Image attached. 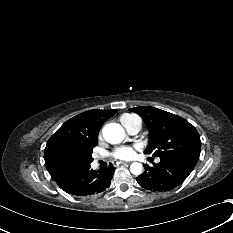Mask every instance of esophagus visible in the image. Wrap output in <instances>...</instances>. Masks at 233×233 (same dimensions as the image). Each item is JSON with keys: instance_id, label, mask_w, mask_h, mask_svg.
<instances>
[{"instance_id": "1", "label": "esophagus", "mask_w": 233, "mask_h": 233, "mask_svg": "<svg viewBox=\"0 0 233 233\" xmlns=\"http://www.w3.org/2000/svg\"><path fill=\"white\" fill-rule=\"evenodd\" d=\"M127 163H129V162H124V161L121 162V164H127Z\"/></svg>"}]
</instances>
